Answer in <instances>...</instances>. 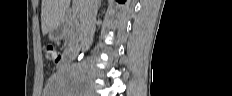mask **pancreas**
I'll use <instances>...</instances> for the list:
<instances>
[{
	"instance_id": "1",
	"label": "pancreas",
	"mask_w": 232,
	"mask_h": 96,
	"mask_svg": "<svg viewBox=\"0 0 232 96\" xmlns=\"http://www.w3.org/2000/svg\"><path fill=\"white\" fill-rule=\"evenodd\" d=\"M64 46L67 50H72L78 44V23L75 18L69 16L64 25Z\"/></svg>"
}]
</instances>
